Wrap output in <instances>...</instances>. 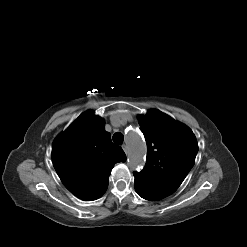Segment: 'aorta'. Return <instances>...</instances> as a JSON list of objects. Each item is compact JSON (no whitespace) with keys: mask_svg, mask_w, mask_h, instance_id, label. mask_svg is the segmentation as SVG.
Instances as JSON below:
<instances>
[{"mask_svg":"<svg viewBox=\"0 0 247 247\" xmlns=\"http://www.w3.org/2000/svg\"><path fill=\"white\" fill-rule=\"evenodd\" d=\"M126 142L129 156L128 162L131 168L136 169L143 165L146 153V144L136 129H129L126 133Z\"/></svg>","mask_w":247,"mask_h":247,"instance_id":"obj_1","label":"aorta"}]
</instances>
